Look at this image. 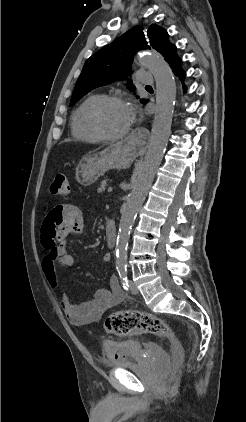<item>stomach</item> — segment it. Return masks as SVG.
Wrapping results in <instances>:
<instances>
[{
    "label": "stomach",
    "mask_w": 246,
    "mask_h": 422,
    "mask_svg": "<svg viewBox=\"0 0 246 422\" xmlns=\"http://www.w3.org/2000/svg\"><path fill=\"white\" fill-rule=\"evenodd\" d=\"M134 157L135 151L128 143L112 144L83 158L76 168V180L83 186H89L108 170L129 167Z\"/></svg>",
    "instance_id": "0dacf381"
}]
</instances>
